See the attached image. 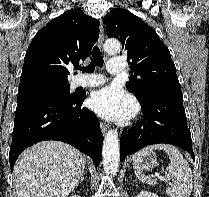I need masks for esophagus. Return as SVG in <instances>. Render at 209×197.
Returning <instances> with one entry per match:
<instances>
[{"instance_id": "34e87169", "label": "esophagus", "mask_w": 209, "mask_h": 197, "mask_svg": "<svg viewBox=\"0 0 209 197\" xmlns=\"http://www.w3.org/2000/svg\"><path fill=\"white\" fill-rule=\"evenodd\" d=\"M103 42H104V30H103L102 23L100 22L98 45L101 49L103 47ZM100 127H101V131H102L103 134H105L107 132V130L109 129V126L106 123H103V122H101Z\"/></svg>"}]
</instances>
